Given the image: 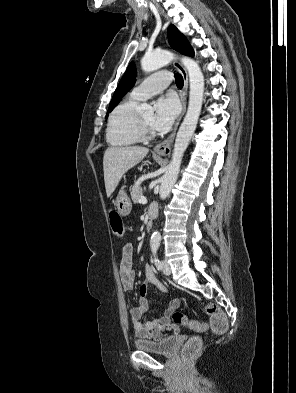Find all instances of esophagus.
I'll return each mask as SVG.
<instances>
[{"mask_svg":"<svg viewBox=\"0 0 296 393\" xmlns=\"http://www.w3.org/2000/svg\"><path fill=\"white\" fill-rule=\"evenodd\" d=\"M175 67L180 71L182 77H183V88L180 92V99H181V103H182V111L180 114V117L178 118L174 129L172 131V133L168 136V138H166L164 141H162L161 143L157 144L154 147V151L160 155H168L170 154L171 151V146L172 143L174 141L175 135H176V131L178 129V126L180 124V121L182 119V117L185 114L186 111V96H187V89H188V74L186 69L184 68V66L179 62V61H175L174 62Z\"/></svg>","mask_w":296,"mask_h":393,"instance_id":"obj_1","label":"esophagus"}]
</instances>
